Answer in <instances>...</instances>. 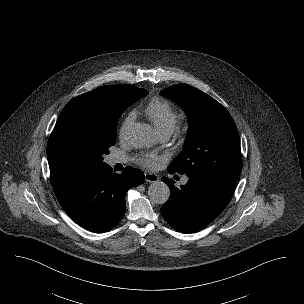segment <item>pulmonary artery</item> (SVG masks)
Masks as SVG:
<instances>
[{
    "label": "pulmonary artery",
    "mask_w": 304,
    "mask_h": 304,
    "mask_svg": "<svg viewBox=\"0 0 304 304\" xmlns=\"http://www.w3.org/2000/svg\"><path fill=\"white\" fill-rule=\"evenodd\" d=\"M169 135H170L169 133H159V138H160V140L164 141L169 137ZM110 162L112 164L123 163V162H125V159L121 156L114 155L111 157ZM187 181H188V178H186V177L182 179L183 184H186Z\"/></svg>",
    "instance_id": "e3ab8cb5"
}]
</instances>
